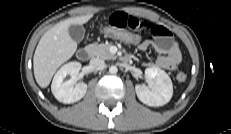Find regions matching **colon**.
Masks as SVG:
<instances>
[{"label": "colon", "instance_id": "obj_1", "mask_svg": "<svg viewBox=\"0 0 231 134\" xmlns=\"http://www.w3.org/2000/svg\"><path fill=\"white\" fill-rule=\"evenodd\" d=\"M101 33L106 37L129 45L139 46L145 41V39L139 33L122 28L106 26L101 29ZM186 78L187 75L184 72H179L176 76L177 81L181 83L185 82Z\"/></svg>", "mask_w": 231, "mask_h": 134}]
</instances>
